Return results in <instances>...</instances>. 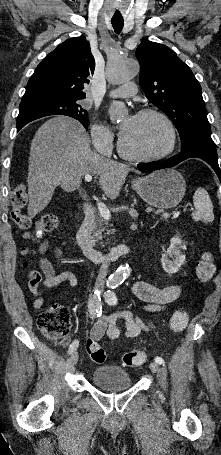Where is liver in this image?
Instances as JSON below:
<instances>
[{
  "mask_svg": "<svg viewBox=\"0 0 221 455\" xmlns=\"http://www.w3.org/2000/svg\"><path fill=\"white\" fill-rule=\"evenodd\" d=\"M129 173L127 165L90 149L89 135L77 120L56 116L46 121L31 143L28 166V215L35 217L50 203L55 189L77 190L86 174L99 175V186L111 199L118 197Z\"/></svg>",
  "mask_w": 221,
  "mask_h": 455,
  "instance_id": "liver-1",
  "label": "liver"
}]
</instances>
